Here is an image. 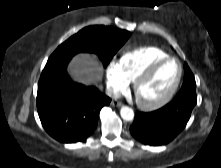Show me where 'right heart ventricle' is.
Instances as JSON below:
<instances>
[{
  "instance_id": "right-heart-ventricle-1",
  "label": "right heart ventricle",
  "mask_w": 221,
  "mask_h": 168,
  "mask_svg": "<svg viewBox=\"0 0 221 168\" xmlns=\"http://www.w3.org/2000/svg\"><path fill=\"white\" fill-rule=\"evenodd\" d=\"M168 54L157 47H141L125 52L119 59V68L128 82H133L153 62Z\"/></svg>"
}]
</instances>
